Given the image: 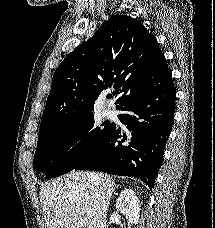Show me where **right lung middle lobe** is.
<instances>
[{
    "label": "right lung middle lobe",
    "instance_id": "right-lung-middle-lobe-1",
    "mask_svg": "<svg viewBox=\"0 0 215 228\" xmlns=\"http://www.w3.org/2000/svg\"><path fill=\"white\" fill-rule=\"evenodd\" d=\"M94 123L93 114L77 121L40 128L33 160L35 169L45 173L47 178L73 170L109 136L114 127L113 124L95 127Z\"/></svg>",
    "mask_w": 215,
    "mask_h": 228
}]
</instances>
